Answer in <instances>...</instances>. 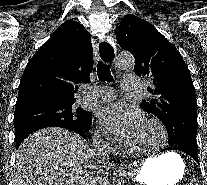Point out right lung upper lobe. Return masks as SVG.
I'll return each mask as SVG.
<instances>
[{"instance_id":"right-lung-upper-lobe-1","label":"right lung upper lobe","mask_w":207,"mask_h":185,"mask_svg":"<svg viewBox=\"0 0 207 185\" xmlns=\"http://www.w3.org/2000/svg\"><path fill=\"white\" fill-rule=\"evenodd\" d=\"M92 69L91 35L80 23L65 21L28 62L15 111L48 104L72 106L75 85L88 83Z\"/></svg>"}]
</instances>
